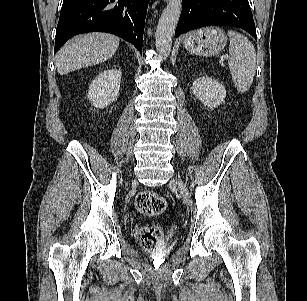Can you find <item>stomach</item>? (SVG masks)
Returning <instances> with one entry per match:
<instances>
[{"label":"stomach","mask_w":307,"mask_h":301,"mask_svg":"<svg viewBox=\"0 0 307 301\" xmlns=\"http://www.w3.org/2000/svg\"><path fill=\"white\" fill-rule=\"evenodd\" d=\"M187 51L199 56L218 55L226 46L227 36L219 27H206L188 33L184 37Z\"/></svg>","instance_id":"stomach-1"}]
</instances>
